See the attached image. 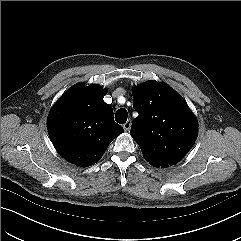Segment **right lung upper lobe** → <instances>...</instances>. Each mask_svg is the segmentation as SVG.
<instances>
[{
  "label": "right lung upper lobe",
  "mask_w": 241,
  "mask_h": 241,
  "mask_svg": "<svg viewBox=\"0 0 241 241\" xmlns=\"http://www.w3.org/2000/svg\"><path fill=\"white\" fill-rule=\"evenodd\" d=\"M97 85L71 87L52 107L47 128L53 145L69 162L83 167L96 163L124 129Z\"/></svg>",
  "instance_id": "1"
}]
</instances>
